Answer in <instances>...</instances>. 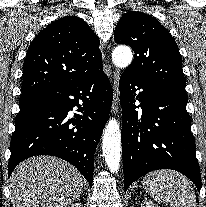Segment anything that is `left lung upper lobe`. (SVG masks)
I'll list each match as a JSON object with an SVG mask.
<instances>
[{
	"label": "left lung upper lobe",
	"mask_w": 206,
	"mask_h": 207,
	"mask_svg": "<svg viewBox=\"0 0 206 207\" xmlns=\"http://www.w3.org/2000/svg\"><path fill=\"white\" fill-rule=\"evenodd\" d=\"M118 44L134 51L133 62L123 72L149 84L185 92V77L178 46L155 18L141 12H127L114 32Z\"/></svg>",
	"instance_id": "1"
}]
</instances>
